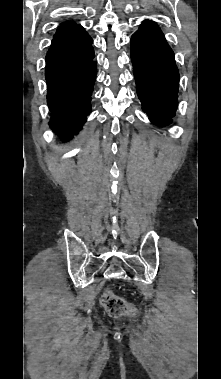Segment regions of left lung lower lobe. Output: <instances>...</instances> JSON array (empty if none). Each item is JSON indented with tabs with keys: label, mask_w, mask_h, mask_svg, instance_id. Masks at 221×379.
<instances>
[{
	"label": "left lung lower lobe",
	"mask_w": 221,
	"mask_h": 379,
	"mask_svg": "<svg viewBox=\"0 0 221 379\" xmlns=\"http://www.w3.org/2000/svg\"><path fill=\"white\" fill-rule=\"evenodd\" d=\"M131 59L143 111L153 123L169 124L177 106L179 72L174 53L154 22L144 21L132 36Z\"/></svg>",
	"instance_id": "0a47b994"
}]
</instances>
